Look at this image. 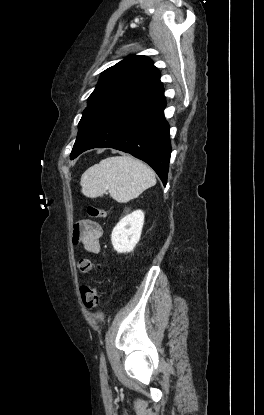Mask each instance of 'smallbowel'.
Wrapping results in <instances>:
<instances>
[{"instance_id": "1", "label": "small bowel", "mask_w": 264, "mask_h": 415, "mask_svg": "<svg viewBox=\"0 0 264 415\" xmlns=\"http://www.w3.org/2000/svg\"><path fill=\"white\" fill-rule=\"evenodd\" d=\"M73 233V236L79 239L87 252L100 253V239L103 235L100 224L91 220H83L75 225Z\"/></svg>"}]
</instances>
